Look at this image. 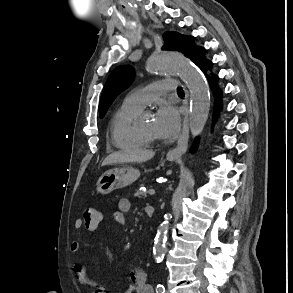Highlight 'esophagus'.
<instances>
[{
  "label": "esophagus",
  "mask_w": 293,
  "mask_h": 293,
  "mask_svg": "<svg viewBox=\"0 0 293 293\" xmlns=\"http://www.w3.org/2000/svg\"><path fill=\"white\" fill-rule=\"evenodd\" d=\"M188 127H189V118H188V115H186L184 119L183 131L178 140L177 146L168 152V156L176 157V156H181L182 154L185 153L187 149L186 133L188 132Z\"/></svg>",
  "instance_id": "obj_1"
}]
</instances>
